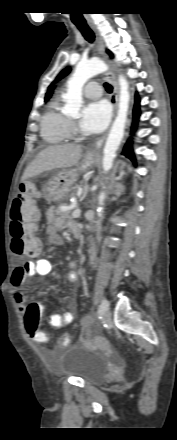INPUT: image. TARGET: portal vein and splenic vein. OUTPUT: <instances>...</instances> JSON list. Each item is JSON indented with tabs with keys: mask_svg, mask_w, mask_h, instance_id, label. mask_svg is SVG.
<instances>
[{
	"mask_svg": "<svg viewBox=\"0 0 177 440\" xmlns=\"http://www.w3.org/2000/svg\"><path fill=\"white\" fill-rule=\"evenodd\" d=\"M80 214H81V210L77 208L73 211L72 216L74 218H78V217H80Z\"/></svg>",
	"mask_w": 177,
	"mask_h": 440,
	"instance_id": "1",
	"label": "portal vein and splenic vein"
}]
</instances>
